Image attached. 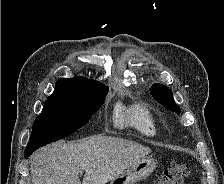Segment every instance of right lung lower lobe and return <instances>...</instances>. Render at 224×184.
<instances>
[{
    "label": "right lung lower lobe",
    "mask_w": 224,
    "mask_h": 184,
    "mask_svg": "<svg viewBox=\"0 0 224 184\" xmlns=\"http://www.w3.org/2000/svg\"><path fill=\"white\" fill-rule=\"evenodd\" d=\"M35 150H28L25 151V159H27Z\"/></svg>",
    "instance_id": "right-lung-lower-lobe-1"
}]
</instances>
